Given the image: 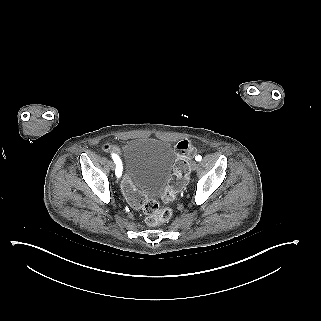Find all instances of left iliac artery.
Masks as SVG:
<instances>
[{
    "mask_svg": "<svg viewBox=\"0 0 321 321\" xmlns=\"http://www.w3.org/2000/svg\"><path fill=\"white\" fill-rule=\"evenodd\" d=\"M195 159H196V161H201L202 157H201L200 155H197V156L195 157Z\"/></svg>",
    "mask_w": 321,
    "mask_h": 321,
    "instance_id": "left-iliac-artery-1",
    "label": "left iliac artery"
}]
</instances>
